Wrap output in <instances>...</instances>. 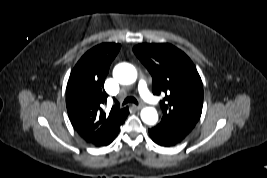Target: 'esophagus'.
Here are the masks:
<instances>
[{
    "label": "esophagus",
    "mask_w": 267,
    "mask_h": 178,
    "mask_svg": "<svg viewBox=\"0 0 267 178\" xmlns=\"http://www.w3.org/2000/svg\"><path fill=\"white\" fill-rule=\"evenodd\" d=\"M143 106H144L143 104L134 105V107H135L136 109H141Z\"/></svg>",
    "instance_id": "obj_1"
}]
</instances>
